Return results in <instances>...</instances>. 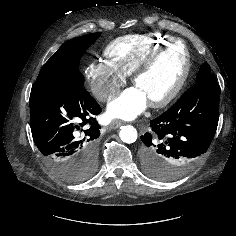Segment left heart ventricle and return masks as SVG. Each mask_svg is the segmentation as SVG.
<instances>
[{"mask_svg":"<svg viewBox=\"0 0 236 236\" xmlns=\"http://www.w3.org/2000/svg\"><path fill=\"white\" fill-rule=\"evenodd\" d=\"M184 67L181 45H175L164 52L154 65L140 76L136 86L146 95L148 101L167 94L180 78Z\"/></svg>","mask_w":236,"mask_h":236,"instance_id":"left-heart-ventricle-1","label":"left heart ventricle"}]
</instances>
